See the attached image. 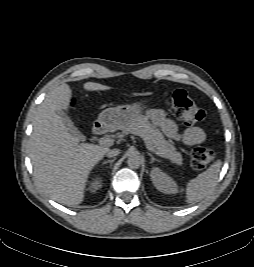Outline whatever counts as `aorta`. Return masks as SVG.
<instances>
[{"label": "aorta", "mask_w": 254, "mask_h": 267, "mask_svg": "<svg viewBox=\"0 0 254 267\" xmlns=\"http://www.w3.org/2000/svg\"><path fill=\"white\" fill-rule=\"evenodd\" d=\"M127 164L132 169H138L142 164V158L137 152H132L127 159Z\"/></svg>", "instance_id": "obj_1"}]
</instances>
